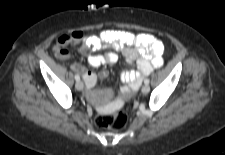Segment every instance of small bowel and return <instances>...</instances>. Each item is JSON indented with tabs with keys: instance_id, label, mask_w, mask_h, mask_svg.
I'll list each match as a JSON object with an SVG mask.
<instances>
[{
	"instance_id": "small-bowel-1",
	"label": "small bowel",
	"mask_w": 225,
	"mask_h": 155,
	"mask_svg": "<svg viewBox=\"0 0 225 155\" xmlns=\"http://www.w3.org/2000/svg\"><path fill=\"white\" fill-rule=\"evenodd\" d=\"M59 38H64L65 40L62 43L57 41L53 46V52L60 59L68 57L67 51L62 52L63 46L81 43L79 51L84 55L106 46L113 49V51H108L102 55H89L87 62L93 68L106 63H115L118 60L116 52H120L123 55L126 64L137 65V70L127 71L122 74L121 78L124 85L121 88L120 95L108 99L104 104L103 97H106V95L90 94L101 112L117 113L125 108L127 102L124 97H128L138 89L144 75L149 74L153 69L159 68L163 64L162 54L165 47L160 40L148 33L133 34L127 31L107 29L94 35H86L81 31H74ZM72 68L82 74L87 89L93 88L99 78L106 76V72L97 75L80 64H73Z\"/></svg>"
}]
</instances>
